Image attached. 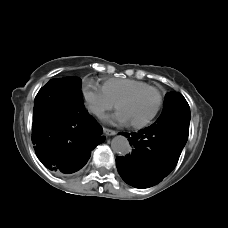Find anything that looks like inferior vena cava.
Listing matches in <instances>:
<instances>
[{
  "instance_id": "obj_1",
  "label": "inferior vena cava",
  "mask_w": 228,
  "mask_h": 228,
  "mask_svg": "<svg viewBox=\"0 0 228 228\" xmlns=\"http://www.w3.org/2000/svg\"><path fill=\"white\" fill-rule=\"evenodd\" d=\"M89 111L94 113L97 116H102L104 110L101 107H99V106L90 105L89 106Z\"/></svg>"
}]
</instances>
